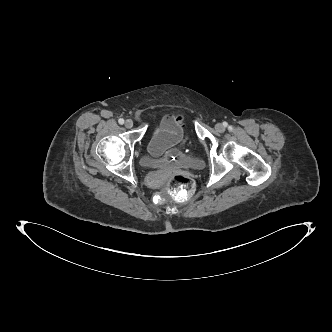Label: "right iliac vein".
<instances>
[{
	"label": "right iliac vein",
	"mask_w": 332,
	"mask_h": 332,
	"mask_svg": "<svg viewBox=\"0 0 332 332\" xmlns=\"http://www.w3.org/2000/svg\"><path fill=\"white\" fill-rule=\"evenodd\" d=\"M133 124L134 123L131 119H128V120L125 121V127L128 128V129L132 128Z\"/></svg>",
	"instance_id": "right-iliac-vein-1"
}]
</instances>
